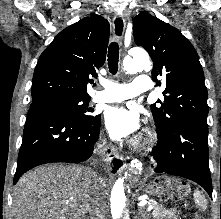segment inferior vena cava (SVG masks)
Listing matches in <instances>:
<instances>
[{"instance_id":"602c4592","label":"inferior vena cava","mask_w":221,"mask_h":219,"mask_svg":"<svg viewBox=\"0 0 221 219\" xmlns=\"http://www.w3.org/2000/svg\"><path fill=\"white\" fill-rule=\"evenodd\" d=\"M91 179L93 180L92 191H102V176L94 173ZM89 214L90 219H105V211L102 208V203L99 198H96L92 202Z\"/></svg>"}]
</instances>
